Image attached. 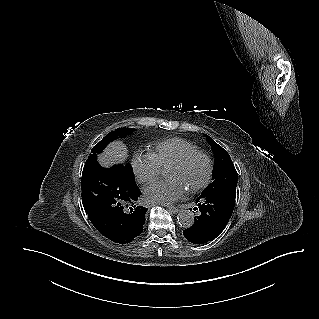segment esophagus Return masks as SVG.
<instances>
[{
  "label": "esophagus",
  "instance_id": "34e87169",
  "mask_svg": "<svg viewBox=\"0 0 319 319\" xmlns=\"http://www.w3.org/2000/svg\"><path fill=\"white\" fill-rule=\"evenodd\" d=\"M167 208L172 211L173 213H178L179 212V208L175 207V206H167Z\"/></svg>",
  "mask_w": 319,
  "mask_h": 319
}]
</instances>
